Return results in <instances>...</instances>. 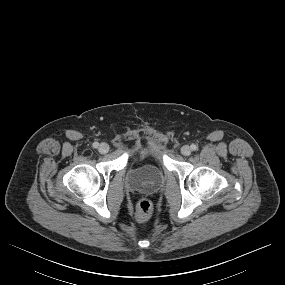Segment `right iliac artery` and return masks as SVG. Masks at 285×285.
Returning a JSON list of instances; mask_svg holds the SVG:
<instances>
[{
  "mask_svg": "<svg viewBox=\"0 0 285 285\" xmlns=\"http://www.w3.org/2000/svg\"><path fill=\"white\" fill-rule=\"evenodd\" d=\"M98 146H99V143H98V142H94V143H93V147H94V148H98Z\"/></svg>",
  "mask_w": 285,
  "mask_h": 285,
  "instance_id": "obj_1",
  "label": "right iliac artery"
}]
</instances>
